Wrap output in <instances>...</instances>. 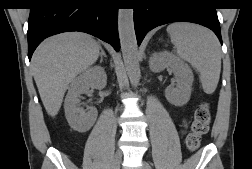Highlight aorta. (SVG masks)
<instances>
[{
    "label": "aorta",
    "mask_w": 252,
    "mask_h": 169,
    "mask_svg": "<svg viewBox=\"0 0 252 169\" xmlns=\"http://www.w3.org/2000/svg\"><path fill=\"white\" fill-rule=\"evenodd\" d=\"M134 39L131 34H126L124 38V55L126 58H130L133 54ZM130 82L134 89L139 85V72L135 69L129 70Z\"/></svg>",
    "instance_id": "aorta-1"
}]
</instances>
